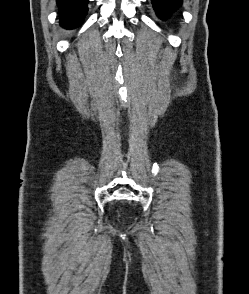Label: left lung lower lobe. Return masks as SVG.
I'll return each instance as SVG.
<instances>
[{
  "label": "left lung lower lobe",
  "instance_id": "1",
  "mask_svg": "<svg viewBox=\"0 0 249 294\" xmlns=\"http://www.w3.org/2000/svg\"><path fill=\"white\" fill-rule=\"evenodd\" d=\"M157 15L165 19L182 4V0H152Z\"/></svg>",
  "mask_w": 249,
  "mask_h": 294
}]
</instances>
